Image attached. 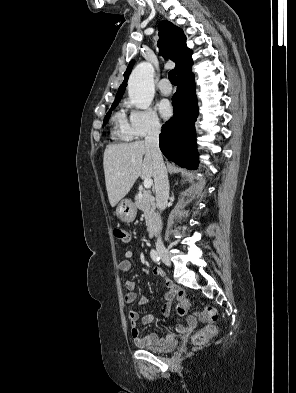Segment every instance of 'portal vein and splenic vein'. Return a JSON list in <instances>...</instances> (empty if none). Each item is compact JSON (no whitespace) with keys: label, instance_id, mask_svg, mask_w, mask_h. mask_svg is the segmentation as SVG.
<instances>
[{"label":"portal vein and splenic vein","instance_id":"obj_1","mask_svg":"<svg viewBox=\"0 0 296 393\" xmlns=\"http://www.w3.org/2000/svg\"><path fill=\"white\" fill-rule=\"evenodd\" d=\"M152 185H153V180L151 178L144 179V187L146 189L151 188Z\"/></svg>","mask_w":296,"mask_h":393}]
</instances>
